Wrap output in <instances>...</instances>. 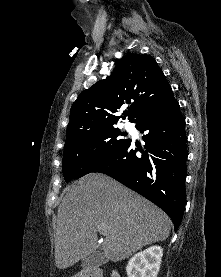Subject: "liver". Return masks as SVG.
I'll list each match as a JSON object with an SVG mask.
<instances>
[{
  "label": "liver",
  "instance_id": "obj_1",
  "mask_svg": "<svg viewBox=\"0 0 221 277\" xmlns=\"http://www.w3.org/2000/svg\"><path fill=\"white\" fill-rule=\"evenodd\" d=\"M170 230V218L153 203L106 175L91 173L58 208L55 263L65 269L94 253L101 231L104 257L118 262L166 240Z\"/></svg>",
  "mask_w": 221,
  "mask_h": 277
}]
</instances>
